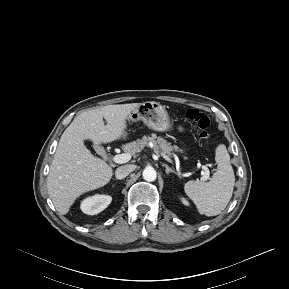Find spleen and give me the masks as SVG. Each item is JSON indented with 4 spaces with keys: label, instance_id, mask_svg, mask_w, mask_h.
<instances>
[{
    "label": "spleen",
    "instance_id": "obj_1",
    "mask_svg": "<svg viewBox=\"0 0 289 289\" xmlns=\"http://www.w3.org/2000/svg\"><path fill=\"white\" fill-rule=\"evenodd\" d=\"M215 160L217 170L209 182L188 181L184 186L186 195L194 202L198 212L206 216H216L225 209L235 184L230 155L224 144L216 148Z\"/></svg>",
    "mask_w": 289,
    "mask_h": 289
}]
</instances>
